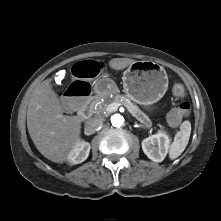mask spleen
Here are the masks:
<instances>
[{
	"mask_svg": "<svg viewBox=\"0 0 221 221\" xmlns=\"http://www.w3.org/2000/svg\"><path fill=\"white\" fill-rule=\"evenodd\" d=\"M191 134V124L189 121H184L180 126V131L176 133L174 141L170 146L169 157L176 159L180 156L188 145Z\"/></svg>",
	"mask_w": 221,
	"mask_h": 221,
	"instance_id": "spleen-1",
	"label": "spleen"
}]
</instances>
